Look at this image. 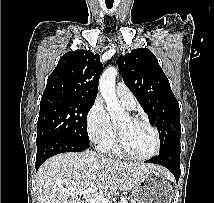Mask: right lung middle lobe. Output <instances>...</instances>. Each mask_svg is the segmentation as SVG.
Segmentation results:
<instances>
[{"label":"right lung middle lobe","mask_w":214,"mask_h":203,"mask_svg":"<svg viewBox=\"0 0 214 203\" xmlns=\"http://www.w3.org/2000/svg\"><path fill=\"white\" fill-rule=\"evenodd\" d=\"M94 102L62 97L41 99L36 144L50 138L89 144L86 120Z\"/></svg>","instance_id":"right-lung-middle-lobe-1"}]
</instances>
